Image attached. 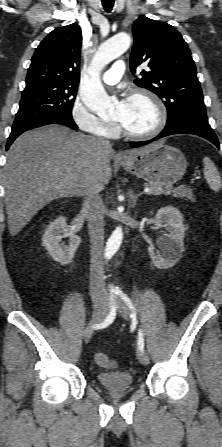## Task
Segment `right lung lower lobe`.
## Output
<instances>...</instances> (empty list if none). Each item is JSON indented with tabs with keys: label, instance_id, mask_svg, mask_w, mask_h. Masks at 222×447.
<instances>
[{
	"label": "right lung lower lobe",
	"instance_id": "right-lung-lower-lobe-1",
	"mask_svg": "<svg viewBox=\"0 0 222 447\" xmlns=\"http://www.w3.org/2000/svg\"><path fill=\"white\" fill-rule=\"evenodd\" d=\"M48 124H61V125L70 127L72 129L78 128L77 125L75 124V122L73 121L72 117H66V116L52 117V118L43 120L40 123H36V124H32V125H29L26 127H22L20 129L12 130L11 135L8 138L6 149H8L10 147V145L12 144V142L23 132L33 129V128L48 125Z\"/></svg>",
	"mask_w": 222,
	"mask_h": 447
}]
</instances>
